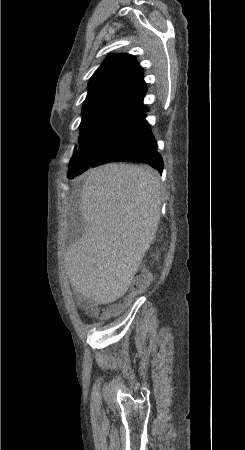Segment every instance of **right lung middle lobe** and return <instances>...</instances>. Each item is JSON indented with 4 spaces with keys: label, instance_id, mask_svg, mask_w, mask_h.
Wrapping results in <instances>:
<instances>
[{
    "label": "right lung middle lobe",
    "instance_id": "obj_1",
    "mask_svg": "<svg viewBox=\"0 0 245 450\" xmlns=\"http://www.w3.org/2000/svg\"><path fill=\"white\" fill-rule=\"evenodd\" d=\"M82 112L79 148L71 159L68 178L87 170L100 155L114 151L130 139L142 115L112 107L91 108Z\"/></svg>",
    "mask_w": 245,
    "mask_h": 450
}]
</instances>
